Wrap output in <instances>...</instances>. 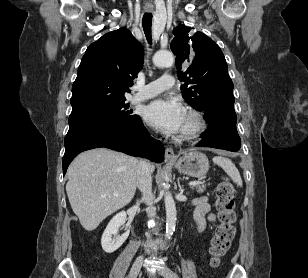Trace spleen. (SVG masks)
<instances>
[{"label": "spleen", "instance_id": "spleen-1", "mask_svg": "<svg viewBox=\"0 0 308 278\" xmlns=\"http://www.w3.org/2000/svg\"><path fill=\"white\" fill-rule=\"evenodd\" d=\"M213 162L220 166L232 179V181L237 184V186L242 187L243 182L240 173L234 163L224 156H215Z\"/></svg>", "mask_w": 308, "mask_h": 278}]
</instances>
